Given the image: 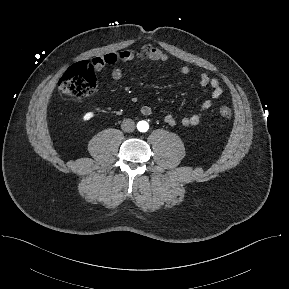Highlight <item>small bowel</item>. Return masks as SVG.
Masks as SVG:
<instances>
[{"label":"small bowel","mask_w":289,"mask_h":289,"mask_svg":"<svg viewBox=\"0 0 289 289\" xmlns=\"http://www.w3.org/2000/svg\"><path fill=\"white\" fill-rule=\"evenodd\" d=\"M146 59L166 62L168 61V55L152 44H145L138 50H122L95 57L92 61V64L95 71H101L107 65H114L119 62H127L132 60ZM180 72L183 75H189L190 69L187 66H182L180 68ZM111 75L114 80L118 81L122 78V70L120 68H115L113 69ZM198 81L202 88L210 89V97L201 104L198 112L185 116L181 119V124L186 127L197 126L200 124L202 114L212 106L214 100L220 98L223 95V89L217 79L209 77L206 73H199ZM140 112L142 115L150 116L153 114V108L149 105H143L140 108ZM164 121L171 127H174L177 123L175 117L171 114H167L164 117Z\"/></svg>","instance_id":"small-bowel-1"}]
</instances>
